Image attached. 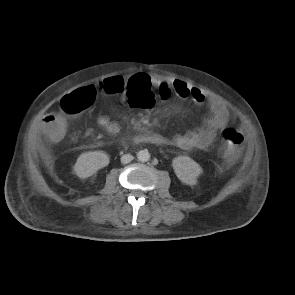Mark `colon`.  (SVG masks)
Masks as SVG:
<instances>
[{"mask_svg": "<svg viewBox=\"0 0 295 295\" xmlns=\"http://www.w3.org/2000/svg\"><path fill=\"white\" fill-rule=\"evenodd\" d=\"M126 93V101L133 110H151L156 102H163L170 92L164 89L161 93H153L152 87H127L120 79H111L101 83L98 87L90 85L79 88L64 96L55 113L53 121L46 129L47 136L53 141L61 140L67 130V118L77 115L93 104L98 93L122 95ZM224 141L223 154L229 159H235L244 143L243 134L235 128H226L222 132Z\"/></svg>", "mask_w": 295, "mask_h": 295, "instance_id": "1", "label": "colon"}]
</instances>
